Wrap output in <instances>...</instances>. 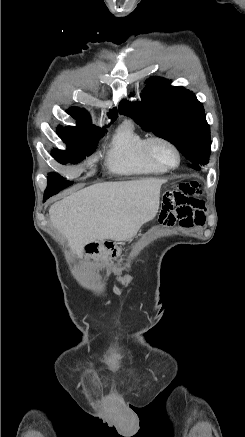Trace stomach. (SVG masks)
I'll return each instance as SVG.
<instances>
[{"mask_svg":"<svg viewBox=\"0 0 245 437\" xmlns=\"http://www.w3.org/2000/svg\"><path fill=\"white\" fill-rule=\"evenodd\" d=\"M168 186H169V184H166V185H165V188H167Z\"/></svg>","mask_w":245,"mask_h":437,"instance_id":"1","label":"stomach"}]
</instances>
